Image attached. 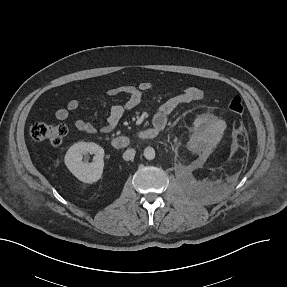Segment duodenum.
<instances>
[{"mask_svg": "<svg viewBox=\"0 0 287 287\" xmlns=\"http://www.w3.org/2000/svg\"><path fill=\"white\" fill-rule=\"evenodd\" d=\"M159 129L157 127H149L140 130L136 137L142 140H152L157 137ZM131 143V138L127 136H118L112 139L111 144L114 148L122 149L129 146Z\"/></svg>", "mask_w": 287, "mask_h": 287, "instance_id": "410a0bca", "label": "duodenum"}]
</instances>
